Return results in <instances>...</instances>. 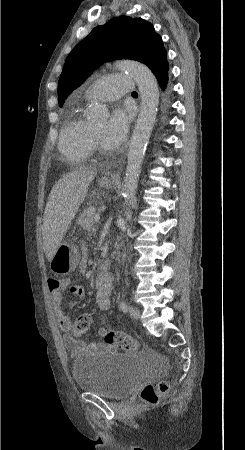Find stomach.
I'll use <instances>...</instances> for the list:
<instances>
[{
	"label": "stomach",
	"instance_id": "0dacf381",
	"mask_svg": "<svg viewBox=\"0 0 245 450\" xmlns=\"http://www.w3.org/2000/svg\"><path fill=\"white\" fill-rule=\"evenodd\" d=\"M100 185L105 188H111L113 182L101 181ZM79 259L80 256L77 248L69 242H63L57 248L50 261V268L56 274L66 275L75 270L79 263Z\"/></svg>",
	"mask_w": 245,
	"mask_h": 450
}]
</instances>
